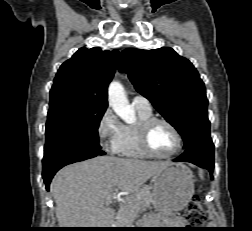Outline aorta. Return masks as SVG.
<instances>
[{
  "mask_svg": "<svg viewBox=\"0 0 252 231\" xmlns=\"http://www.w3.org/2000/svg\"><path fill=\"white\" fill-rule=\"evenodd\" d=\"M108 102L114 112L126 123H133L136 119L134 109L129 105L123 86L113 81L108 88Z\"/></svg>",
  "mask_w": 252,
  "mask_h": 231,
  "instance_id": "aorta-1",
  "label": "aorta"
}]
</instances>
